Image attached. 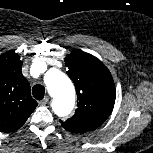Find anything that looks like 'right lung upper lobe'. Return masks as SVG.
I'll return each mask as SVG.
<instances>
[{
  "label": "right lung upper lobe",
  "instance_id": "cb5924a9",
  "mask_svg": "<svg viewBox=\"0 0 153 153\" xmlns=\"http://www.w3.org/2000/svg\"><path fill=\"white\" fill-rule=\"evenodd\" d=\"M22 61L14 52L0 56V131L19 129L34 111L30 84L22 75Z\"/></svg>",
  "mask_w": 153,
  "mask_h": 153
}]
</instances>
